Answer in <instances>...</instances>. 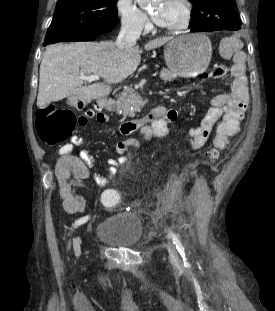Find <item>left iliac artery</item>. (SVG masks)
<instances>
[{
    "label": "left iliac artery",
    "mask_w": 275,
    "mask_h": 311,
    "mask_svg": "<svg viewBox=\"0 0 275 311\" xmlns=\"http://www.w3.org/2000/svg\"><path fill=\"white\" fill-rule=\"evenodd\" d=\"M169 236H170V238H172L174 245L176 246L180 255L183 257V260L185 261L186 260L185 259V249H184L182 243L180 242L178 237L172 231H169Z\"/></svg>",
    "instance_id": "44dca946"
}]
</instances>
